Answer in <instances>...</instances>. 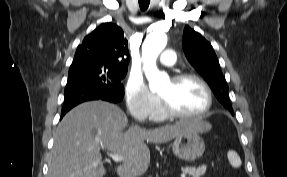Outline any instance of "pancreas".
<instances>
[{"label": "pancreas", "mask_w": 287, "mask_h": 177, "mask_svg": "<svg viewBox=\"0 0 287 177\" xmlns=\"http://www.w3.org/2000/svg\"><path fill=\"white\" fill-rule=\"evenodd\" d=\"M206 171V166H199V167H185L182 168V172L184 174H189L191 177H200Z\"/></svg>", "instance_id": "obj_1"}]
</instances>
